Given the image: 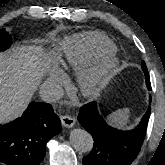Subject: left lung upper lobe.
I'll use <instances>...</instances> for the list:
<instances>
[{"instance_id":"left-lung-upper-lobe-1","label":"left lung upper lobe","mask_w":165,"mask_h":165,"mask_svg":"<svg viewBox=\"0 0 165 165\" xmlns=\"http://www.w3.org/2000/svg\"><path fill=\"white\" fill-rule=\"evenodd\" d=\"M142 69H143L144 74H145V80H146L147 88L150 90L151 89L150 77H149L148 69H147L144 61L142 62Z\"/></svg>"}]
</instances>
